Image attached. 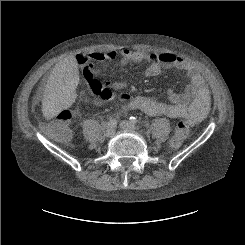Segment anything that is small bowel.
<instances>
[{"mask_svg": "<svg viewBox=\"0 0 245 245\" xmlns=\"http://www.w3.org/2000/svg\"><path fill=\"white\" fill-rule=\"evenodd\" d=\"M90 58L95 62H105L113 59L122 66L145 62L147 67L144 76L153 78L162 73L164 69L176 68L183 70L190 79V85L183 93L168 92L170 103H162L146 96H134L128 107L139 110L147 115L154 116L163 114L174 119H185L190 123L203 120L207 114L210 104V93L202 75L183 58L169 53H146L143 51H131L128 48H118L110 51L94 50ZM75 68L74 62L64 63L60 70L65 73ZM130 86L128 82H118L108 87L111 92L109 97L103 93L92 91L94 103H105L114 95H118Z\"/></svg>", "mask_w": 245, "mask_h": 245, "instance_id": "c3829d8e", "label": "small bowel"}]
</instances>
